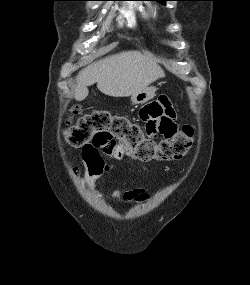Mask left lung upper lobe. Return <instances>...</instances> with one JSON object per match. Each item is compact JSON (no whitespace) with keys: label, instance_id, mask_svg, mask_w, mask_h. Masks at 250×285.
<instances>
[{"label":"left lung upper lobe","instance_id":"obj_1","mask_svg":"<svg viewBox=\"0 0 250 285\" xmlns=\"http://www.w3.org/2000/svg\"><path fill=\"white\" fill-rule=\"evenodd\" d=\"M156 1H158V2H160V3H162V4H165V2H166V1H169V0H156Z\"/></svg>","mask_w":250,"mask_h":285}]
</instances>
